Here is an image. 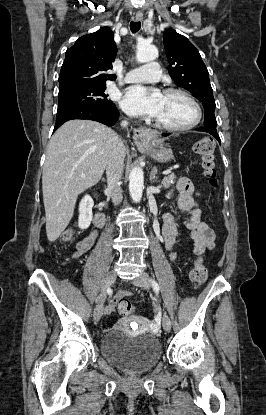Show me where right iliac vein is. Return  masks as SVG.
Masks as SVG:
<instances>
[{
    "mask_svg": "<svg viewBox=\"0 0 266 415\" xmlns=\"http://www.w3.org/2000/svg\"><path fill=\"white\" fill-rule=\"evenodd\" d=\"M116 277H117L116 272L115 271H110L104 279V282H103V285H102V290H101V295H100L99 301H98V303H97V305L94 309V314H93L94 319L97 320V321L100 320V318L103 314V304H104V300H105V297H106V292L110 288V286L115 282Z\"/></svg>",
    "mask_w": 266,
    "mask_h": 415,
    "instance_id": "obj_1",
    "label": "right iliac vein"
}]
</instances>
